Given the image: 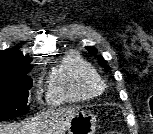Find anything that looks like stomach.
Here are the masks:
<instances>
[{
	"instance_id": "obj_1",
	"label": "stomach",
	"mask_w": 153,
	"mask_h": 134,
	"mask_svg": "<svg viewBox=\"0 0 153 134\" xmlns=\"http://www.w3.org/2000/svg\"><path fill=\"white\" fill-rule=\"evenodd\" d=\"M96 116L87 110H77L67 127V134H95Z\"/></svg>"
}]
</instances>
